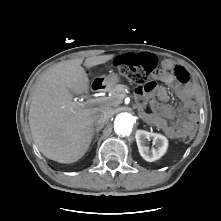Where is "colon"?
<instances>
[{
    "label": "colon",
    "instance_id": "colon-1",
    "mask_svg": "<svg viewBox=\"0 0 221 221\" xmlns=\"http://www.w3.org/2000/svg\"><path fill=\"white\" fill-rule=\"evenodd\" d=\"M116 65L122 75L131 82L142 85L147 91L154 88V78L159 76L160 73L157 69L156 58L149 53H142L133 61H128L126 58L117 60ZM193 137L194 127L190 126L184 131L182 139L185 142H190Z\"/></svg>",
    "mask_w": 221,
    "mask_h": 221
}]
</instances>
